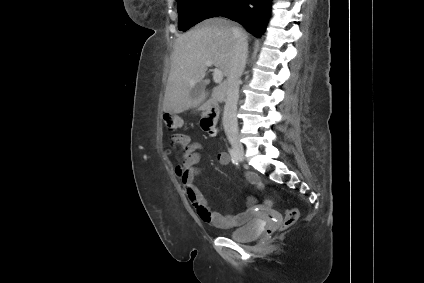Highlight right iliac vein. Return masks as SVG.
I'll list each match as a JSON object with an SVG mask.
<instances>
[{"instance_id": "right-iliac-vein-1", "label": "right iliac vein", "mask_w": 424, "mask_h": 283, "mask_svg": "<svg viewBox=\"0 0 424 283\" xmlns=\"http://www.w3.org/2000/svg\"><path fill=\"white\" fill-rule=\"evenodd\" d=\"M229 141L233 147V150L235 151L238 159L242 161L244 159V148L242 143L240 142L238 136L232 135L229 137Z\"/></svg>"}]
</instances>
